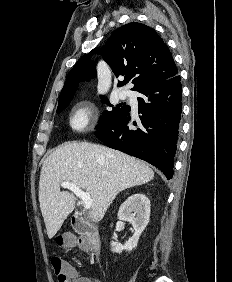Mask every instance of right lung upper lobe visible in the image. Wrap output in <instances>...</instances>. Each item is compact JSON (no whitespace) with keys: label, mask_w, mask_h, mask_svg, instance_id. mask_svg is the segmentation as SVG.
<instances>
[{"label":"right lung upper lobe","mask_w":232,"mask_h":282,"mask_svg":"<svg viewBox=\"0 0 232 282\" xmlns=\"http://www.w3.org/2000/svg\"><path fill=\"white\" fill-rule=\"evenodd\" d=\"M93 53L102 54L116 76H125L118 86L136 76L132 81V90L135 91L178 73L171 52L156 31L147 25L131 22L116 29L101 49H94L78 60L67 76L59 100L74 95L78 82L96 76L95 65L90 61Z\"/></svg>","instance_id":"right-lung-upper-lobe-1"}]
</instances>
